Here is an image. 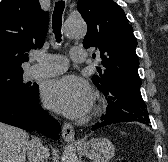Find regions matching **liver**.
Returning a JSON list of instances; mask_svg holds the SVG:
<instances>
[{
	"label": "liver",
	"mask_w": 168,
	"mask_h": 162,
	"mask_svg": "<svg viewBox=\"0 0 168 162\" xmlns=\"http://www.w3.org/2000/svg\"><path fill=\"white\" fill-rule=\"evenodd\" d=\"M29 146L25 131L0 122V162H25Z\"/></svg>",
	"instance_id": "6515ba94"
}]
</instances>
